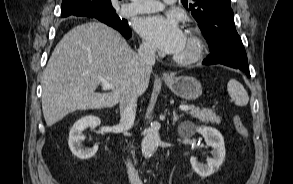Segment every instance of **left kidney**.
<instances>
[{
    "label": "left kidney",
    "instance_id": "5707ae66",
    "mask_svg": "<svg viewBox=\"0 0 293 184\" xmlns=\"http://www.w3.org/2000/svg\"><path fill=\"white\" fill-rule=\"evenodd\" d=\"M196 132L200 133L207 146L212 147V158L207 160V164L198 163L196 157H191L190 162L193 170L201 177H209L215 173L225 158V144L221 133L212 127H195Z\"/></svg>",
    "mask_w": 293,
    "mask_h": 184
}]
</instances>
